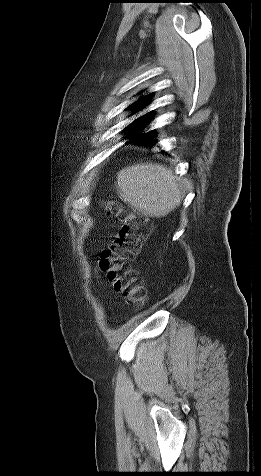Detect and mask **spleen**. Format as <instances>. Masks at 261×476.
Returning a JSON list of instances; mask_svg holds the SVG:
<instances>
[{"label": "spleen", "mask_w": 261, "mask_h": 476, "mask_svg": "<svg viewBox=\"0 0 261 476\" xmlns=\"http://www.w3.org/2000/svg\"><path fill=\"white\" fill-rule=\"evenodd\" d=\"M180 179L164 165L140 163L117 173V192L122 201L150 217H164L181 204Z\"/></svg>", "instance_id": "obj_1"}]
</instances>
